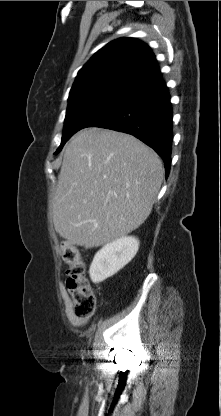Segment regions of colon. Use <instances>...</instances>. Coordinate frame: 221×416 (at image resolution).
<instances>
[{"label": "colon", "mask_w": 221, "mask_h": 416, "mask_svg": "<svg viewBox=\"0 0 221 416\" xmlns=\"http://www.w3.org/2000/svg\"><path fill=\"white\" fill-rule=\"evenodd\" d=\"M58 252L68 265L66 288L69 293L75 316L88 318L96 308V297L86 277V262L80 249L69 241H62Z\"/></svg>", "instance_id": "1"}]
</instances>
